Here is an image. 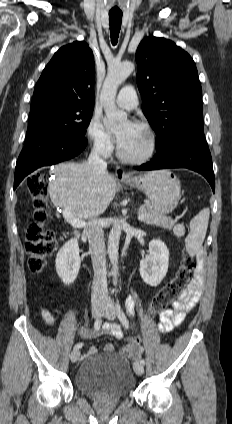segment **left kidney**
<instances>
[{"instance_id": "5707ae66", "label": "left kidney", "mask_w": 232, "mask_h": 424, "mask_svg": "<svg viewBox=\"0 0 232 424\" xmlns=\"http://www.w3.org/2000/svg\"><path fill=\"white\" fill-rule=\"evenodd\" d=\"M169 266V250L160 239L149 243V254L140 261V275L143 281L158 286L166 276Z\"/></svg>"}]
</instances>
